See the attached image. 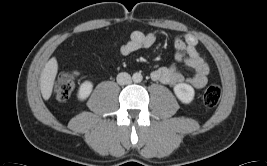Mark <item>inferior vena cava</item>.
<instances>
[{
  "mask_svg": "<svg viewBox=\"0 0 267 166\" xmlns=\"http://www.w3.org/2000/svg\"><path fill=\"white\" fill-rule=\"evenodd\" d=\"M131 82V76L130 74L126 72H121L117 75V83L119 85H126Z\"/></svg>",
  "mask_w": 267,
  "mask_h": 166,
  "instance_id": "1",
  "label": "inferior vena cava"
}]
</instances>
